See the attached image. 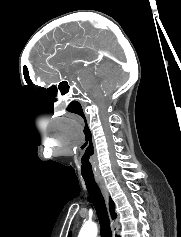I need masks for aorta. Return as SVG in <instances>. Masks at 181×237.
I'll use <instances>...</instances> for the list:
<instances>
[{"label": "aorta", "mask_w": 181, "mask_h": 237, "mask_svg": "<svg viewBox=\"0 0 181 237\" xmlns=\"http://www.w3.org/2000/svg\"><path fill=\"white\" fill-rule=\"evenodd\" d=\"M98 227L95 223H85L78 237H97Z\"/></svg>", "instance_id": "aorta-1"}]
</instances>
